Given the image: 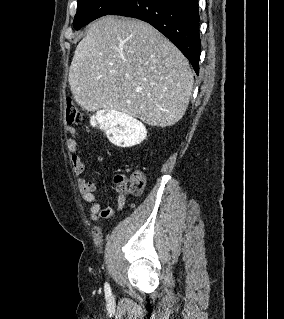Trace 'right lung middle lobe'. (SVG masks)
Listing matches in <instances>:
<instances>
[{
  "instance_id": "obj_1",
  "label": "right lung middle lobe",
  "mask_w": 284,
  "mask_h": 319,
  "mask_svg": "<svg viewBox=\"0 0 284 319\" xmlns=\"http://www.w3.org/2000/svg\"><path fill=\"white\" fill-rule=\"evenodd\" d=\"M128 1L130 0H78L73 26L79 30L91 21L110 14Z\"/></svg>"
}]
</instances>
